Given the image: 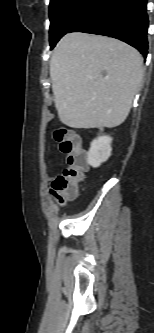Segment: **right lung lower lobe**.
<instances>
[{
    "instance_id": "obj_1",
    "label": "right lung lower lobe",
    "mask_w": 154,
    "mask_h": 333,
    "mask_svg": "<svg viewBox=\"0 0 154 333\" xmlns=\"http://www.w3.org/2000/svg\"><path fill=\"white\" fill-rule=\"evenodd\" d=\"M147 0H99L70 32H85L122 40L147 55Z\"/></svg>"
}]
</instances>
